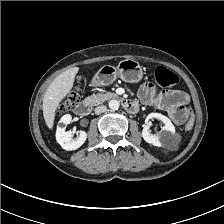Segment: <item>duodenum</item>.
Wrapping results in <instances>:
<instances>
[{
    "label": "duodenum",
    "instance_id": "obj_1",
    "mask_svg": "<svg viewBox=\"0 0 224 224\" xmlns=\"http://www.w3.org/2000/svg\"><path fill=\"white\" fill-rule=\"evenodd\" d=\"M108 96L112 99H120V96L115 93H109ZM122 103L124 109L129 113H135L138 110V103L133 100L124 99ZM93 104V100L85 99L75 106L74 112L78 116H86L91 111Z\"/></svg>",
    "mask_w": 224,
    "mask_h": 224
}]
</instances>
